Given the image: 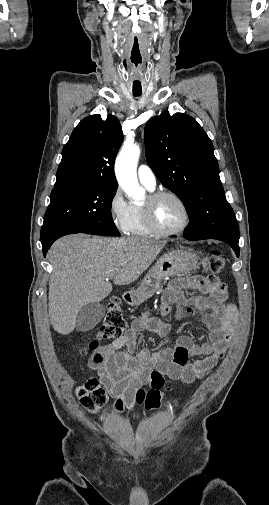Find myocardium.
I'll return each mask as SVG.
<instances>
[{
    "mask_svg": "<svg viewBox=\"0 0 269 505\" xmlns=\"http://www.w3.org/2000/svg\"><path fill=\"white\" fill-rule=\"evenodd\" d=\"M162 197H171L175 199L183 208L185 213V221L179 228L174 230H164L156 223L154 218V206L156 202ZM141 210L146 226L153 234L158 236L167 237L180 235L184 233L191 224V211L189 206L180 195L170 190H157L149 193L146 197L145 202L141 205Z\"/></svg>",
    "mask_w": 269,
    "mask_h": 505,
    "instance_id": "myocardium-1",
    "label": "myocardium"
}]
</instances>
